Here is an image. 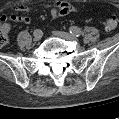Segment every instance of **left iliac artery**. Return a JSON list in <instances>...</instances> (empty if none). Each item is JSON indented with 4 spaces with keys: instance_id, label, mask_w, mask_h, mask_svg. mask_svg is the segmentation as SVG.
<instances>
[{
    "instance_id": "obj_1",
    "label": "left iliac artery",
    "mask_w": 119,
    "mask_h": 119,
    "mask_svg": "<svg viewBox=\"0 0 119 119\" xmlns=\"http://www.w3.org/2000/svg\"><path fill=\"white\" fill-rule=\"evenodd\" d=\"M69 31L72 35H74L76 37L83 35V32L81 31V29L77 26L70 27Z\"/></svg>"
}]
</instances>
